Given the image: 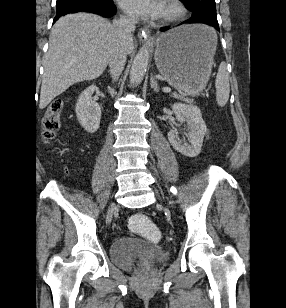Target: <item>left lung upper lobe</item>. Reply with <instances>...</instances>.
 <instances>
[{
	"mask_svg": "<svg viewBox=\"0 0 286 308\" xmlns=\"http://www.w3.org/2000/svg\"><path fill=\"white\" fill-rule=\"evenodd\" d=\"M189 10H194L200 6H216L215 0H180Z\"/></svg>",
	"mask_w": 286,
	"mask_h": 308,
	"instance_id": "obj_1",
	"label": "left lung upper lobe"
}]
</instances>
